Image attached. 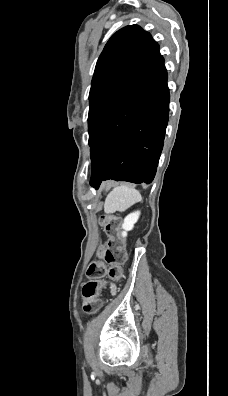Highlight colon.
Segmentation results:
<instances>
[{
    "label": "colon",
    "instance_id": "colon-1",
    "mask_svg": "<svg viewBox=\"0 0 228 396\" xmlns=\"http://www.w3.org/2000/svg\"><path fill=\"white\" fill-rule=\"evenodd\" d=\"M100 224L108 236V242L100 250L101 260L93 261L87 268L89 280L83 285V309L86 313H96L102 306L100 298L101 282L108 275L111 279L119 276L121 266L126 261V252L121 244V223L113 215H103Z\"/></svg>",
    "mask_w": 228,
    "mask_h": 396
}]
</instances>
